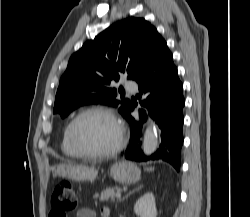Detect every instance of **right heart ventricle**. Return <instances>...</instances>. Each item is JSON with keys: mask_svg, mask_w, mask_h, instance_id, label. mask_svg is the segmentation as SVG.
<instances>
[{"mask_svg": "<svg viewBox=\"0 0 250 217\" xmlns=\"http://www.w3.org/2000/svg\"><path fill=\"white\" fill-rule=\"evenodd\" d=\"M68 125L67 124L64 128L63 134H62V139H61V150L62 152L70 157V158H78L80 157L78 153L74 150V148L71 146L69 142V137H68Z\"/></svg>", "mask_w": 250, "mask_h": 217, "instance_id": "right-heart-ventricle-1", "label": "right heart ventricle"}]
</instances>
